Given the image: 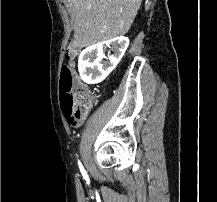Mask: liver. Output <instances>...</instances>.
Returning <instances> with one entry per match:
<instances>
[{
	"label": "liver",
	"instance_id": "6515ba94",
	"mask_svg": "<svg viewBox=\"0 0 217 202\" xmlns=\"http://www.w3.org/2000/svg\"><path fill=\"white\" fill-rule=\"evenodd\" d=\"M142 0H65L71 14L75 46H93L124 36Z\"/></svg>",
	"mask_w": 217,
	"mask_h": 202
}]
</instances>
